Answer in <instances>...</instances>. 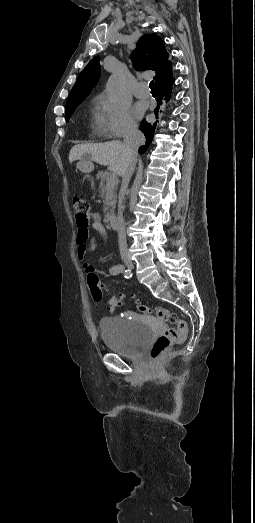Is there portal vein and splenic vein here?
<instances>
[{
	"label": "portal vein and splenic vein",
	"mask_w": 255,
	"mask_h": 523,
	"mask_svg": "<svg viewBox=\"0 0 255 523\" xmlns=\"http://www.w3.org/2000/svg\"><path fill=\"white\" fill-rule=\"evenodd\" d=\"M109 173H110L111 175H114V174L116 173V170H115L114 168H111V169L109 170ZM107 186H111V184H107Z\"/></svg>",
	"instance_id": "portal-vein-and-splenic-vein-1"
}]
</instances>
